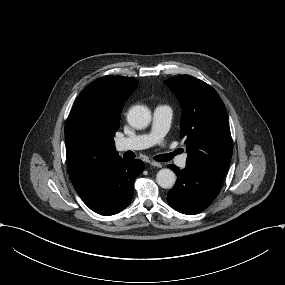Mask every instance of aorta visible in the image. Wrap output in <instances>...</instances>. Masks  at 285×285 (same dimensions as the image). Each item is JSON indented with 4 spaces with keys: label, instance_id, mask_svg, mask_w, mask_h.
<instances>
[{
    "label": "aorta",
    "instance_id": "762f6f07",
    "mask_svg": "<svg viewBox=\"0 0 285 285\" xmlns=\"http://www.w3.org/2000/svg\"><path fill=\"white\" fill-rule=\"evenodd\" d=\"M127 120L136 129L145 128L151 121V111L146 106L136 105L129 110ZM156 181L160 187L169 189L174 186L176 175L172 170L164 168L157 173Z\"/></svg>",
    "mask_w": 285,
    "mask_h": 285
}]
</instances>
